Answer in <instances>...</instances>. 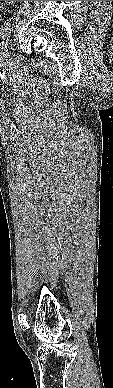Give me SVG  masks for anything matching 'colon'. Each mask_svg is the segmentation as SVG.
Returning a JSON list of instances; mask_svg holds the SVG:
<instances>
[{
	"mask_svg": "<svg viewBox=\"0 0 113 388\" xmlns=\"http://www.w3.org/2000/svg\"><path fill=\"white\" fill-rule=\"evenodd\" d=\"M15 1H0V10L5 9L8 6L14 4Z\"/></svg>",
	"mask_w": 113,
	"mask_h": 388,
	"instance_id": "5ec220e1",
	"label": "colon"
}]
</instances>
